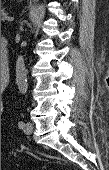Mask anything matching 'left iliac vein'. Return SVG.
Wrapping results in <instances>:
<instances>
[{
	"label": "left iliac vein",
	"mask_w": 109,
	"mask_h": 170,
	"mask_svg": "<svg viewBox=\"0 0 109 170\" xmlns=\"http://www.w3.org/2000/svg\"><path fill=\"white\" fill-rule=\"evenodd\" d=\"M23 131L30 135L33 132V124L31 122H27L23 127Z\"/></svg>",
	"instance_id": "1"
}]
</instances>
